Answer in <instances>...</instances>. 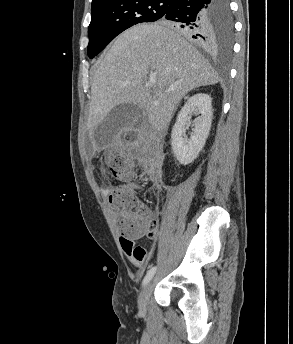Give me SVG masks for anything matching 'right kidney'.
Instances as JSON below:
<instances>
[{
    "instance_id": "1",
    "label": "right kidney",
    "mask_w": 293,
    "mask_h": 344,
    "mask_svg": "<svg viewBox=\"0 0 293 344\" xmlns=\"http://www.w3.org/2000/svg\"><path fill=\"white\" fill-rule=\"evenodd\" d=\"M192 113L199 116L194 122V133L185 139V127L191 124ZM212 116V99L208 94L197 93L184 104L171 133L172 150L180 164L188 165L197 158L209 135Z\"/></svg>"
}]
</instances>
